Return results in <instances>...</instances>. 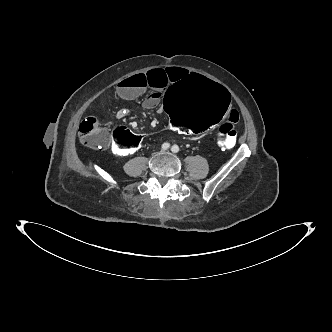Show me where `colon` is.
<instances>
[{"label":"colon","instance_id":"colon-1","mask_svg":"<svg viewBox=\"0 0 332 332\" xmlns=\"http://www.w3.org/2000/svg\"><path fill=\"white\" fill-rule=\"evenodd\" d=\"M164 109L168 122L180 132L197 134L218 126V143L232 148L237 141L234 128L238 110L231 91L200 74H190L172 85L165 94ZM79 139L88 147H102L109 155L131 157L141 146L140 137L121 123L108 130L94 117L79 125Z\"/></svg>","mask_w":332,"mask_h":332}]
</instances>
